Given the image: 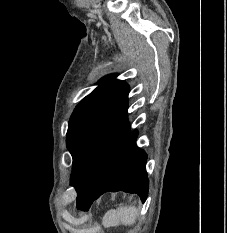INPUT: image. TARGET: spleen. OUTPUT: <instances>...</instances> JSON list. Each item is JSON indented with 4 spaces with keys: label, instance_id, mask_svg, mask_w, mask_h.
Returning a JSON list of instances; mask_svg holds the SVG:
<instances>
[{
    "label": "spleen",
    "instance_id": "obj_1",
    "mask_svg": "<svg viewBox=\"0 0 227 233\" xmlns=\"http://www.w3.org/2000/svg\"><path fill=\"white\" fill-rule=\"evenodd\" d=\"M138 216L135 206H119L116 210H109L103 217L102 223L105 227H115L120 224L125 226L134 224Z\"/></svg>",
    "mask_w": 227,
    "mask_h": 233
}]
</instances>
